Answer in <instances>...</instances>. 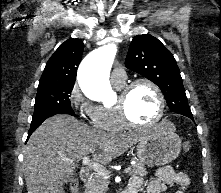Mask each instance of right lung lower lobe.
Segmentation results:
<instances>
[{
  "mask_svg": "<svg viewBox=\"0 0 221 193\" xmlns=\"http://www.w3.org/2000/svg\"><path fill=\"white\" fill-rule=\"evenodd\" d=\"M62 113H67V114L72 115V116L75 115V113H69V112H62ZM55 114H57V113L45 115V116H43V117H41V118H39V119L32 120L30 129H29V132H28V138H29L30 135L36 130V128H38V127L42 124V122H43L45 119H47L48 117L53 116V115H55Z\"/></svg>",
  "mask_w": 221,
  "mask_h": 193,
  "instance_id": "right-lung-lower-lobe-1",
  "label": "right lung lower lobe"
}]
</instances>
